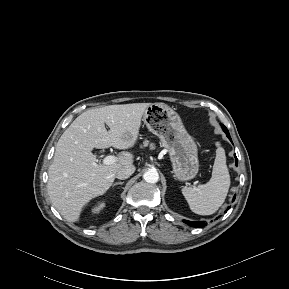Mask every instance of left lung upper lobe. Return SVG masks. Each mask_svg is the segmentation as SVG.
<instances>
[{"label":"left lung upper lobe","instance_id":"5c2ea615","mask_svg":"<svg viewBox=\"0 0 289 289\" xmlns=\"http://www.w3.org/2000/svg\"><path fill=\"white\" fill-rule=\"evenodd\" d=\"M221 127H222V129H223L224 132H225V131H228L227 128H226L224 125H221Z\"/></svg>","mask_w":289,"mask_h":289}]
</instances>
